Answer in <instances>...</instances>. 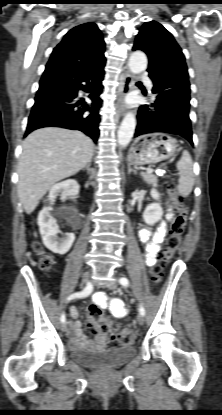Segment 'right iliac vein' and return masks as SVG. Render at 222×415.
Masks as SVG:
<instances>
[{
  "label": "right iliac vein",
  "instance_id": "63e3f726",
  "mask_svg": "<svg viewBox=\"0 0 222 415\" xmlns=\"http://www.w3.org/2000/svg\"><path fill=\"white\" fill-rule=\"evenodd\" d=\"M88 280H89V274H88V273H85V274L83 275V277H82V284H86V283L88 282ZM67 329H68V324L64 322V323L61 325V330H62V331H67Z\"/></svg>",
  "mask_w": 222,
  "mask_h": 415
}]
</instances>
